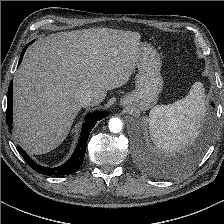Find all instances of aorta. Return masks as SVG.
Listing matches in <instances>:
<instances>
[{"label":"aorta","mask_w":224,"mask_h":224,"mask_svg":"<svg viewBox=\"0 0 224 224\" xmlns=\"http://www.w3.org/2000/svg\"><path fill=\"white\" fill-rule=\"evenodd\" d=\"M123 123L119 118H111L109 120V130L113 133H119L122 131Z\"/></svg>","instance_id":"762f6f07"}]
</instances>
